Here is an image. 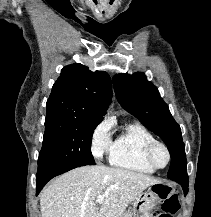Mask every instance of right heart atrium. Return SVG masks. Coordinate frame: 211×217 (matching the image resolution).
I'll use <instances>...</instances> for the list:
<instances>
[{
  "label": "right heart atrium",
  "instance_id": "right-heart-atrium-1",
  "mask_svg": "<svg viewBox=\"0 0 211 217\" xmlns=\"http://www.w3.org/2000/svg\"><path fill=\"white\" fill-rule=\"evenodd\" d=\"M91 151L97 158H102L110 154L112 149L111 126L104 121L98 124L91 135Z\"/></svg>",
  "mask_w": 211,
  "mask_h": 217
}]
</instances>
